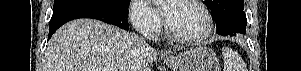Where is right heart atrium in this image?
<instances>
[{
	"label": "right heart atrium",
	"mask_w": 301,
	"mask_h": 71,
	"mask_svg": "<svg viewBox=\"0 0 301 71\" xmlns=\"http://www.w3.org/2000/svg\"><path fill=\"white\" fill-rule=\"evenodd\" d=\"M130 19L135 29L146 37L156 36L162 26L158 14L142 0L132 3Z\"/></svg>",
	"instance_id": "d8ad5b80"
}]
</instances>
